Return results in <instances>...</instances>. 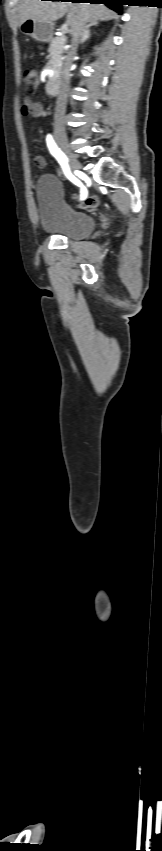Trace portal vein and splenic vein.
Wrapping results in <instances>:
<instances>
[{"label": "portal vein and splenic vein", "mask_w": 162, "mask_h": 851, "mask_svg": "<svg viewBox=\"0 0 162 851\" xmlns=\"http://www.w3.org/2000/svg\"><path fill=\"white\" fill-rule=\"evenodd\" d=\"M61 32H62V33H66V32H68V25H67V24L62 25V27H61Z\"/></svg>", "instance_id": "18ae733b"}]
</instances>
